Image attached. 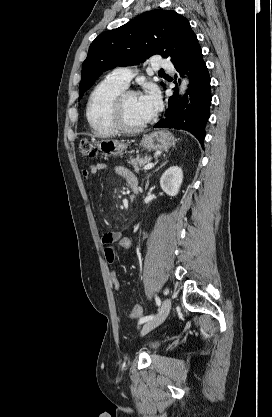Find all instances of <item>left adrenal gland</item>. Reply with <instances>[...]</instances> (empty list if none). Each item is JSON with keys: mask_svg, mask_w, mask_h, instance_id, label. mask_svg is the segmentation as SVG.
<instances>
[{"mask_svg": "<svg viewBox=\"0 0 272 417\" xmlns=\"http://www.w3.org/2000/svg\"><path fill=\"white\" fill-rule=\"evenodd\" d=\"M168 163V161H165V163H163L158 169H156L155 171H158L160 168H162L164 165H166ZM151 176V174H149L148 176H147V183H146V187L145 188H148V185H149V177Z\"/></svg>", "mask_w": 272, "mask_h": 417, "instance_id": "left-adrenal-gland-1", "label": "left adrenal gland"}]
</instances>
